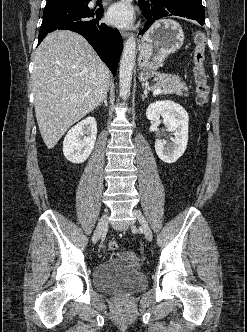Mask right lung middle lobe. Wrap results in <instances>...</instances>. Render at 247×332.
<instances>
[{"instance_id": "right-lung-middle-lobe-1", "label": "right lung middle lobe", "mask_w": 247, "mask_h": 332, "mask_svg": "<svg viewBox=\"0 0 247 332\" xmlns=\"http://www.w3.org/2000/svg\"><path fill=\"white\" fill-rule=\"evenodd\" d=\"M65 1L86 2L87 0H55V1H47V4H52V3H57V2H65Z\"/></svg>"}]
</instances>
